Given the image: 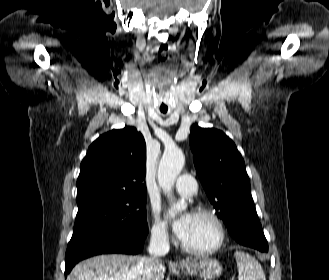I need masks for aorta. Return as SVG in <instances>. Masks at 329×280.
I'll return each instance as SVG.
<instances>
[{
	"instance_id": "1",
	"label": "aorta",
	"mask_w": 329,
	"mask_h": 280,
	"mask_svg": "<svg viewBox=\"0 0 329 280\" xmlns=\"http://www.w3.org/2000/svg\"><path fill=\"white\" fill-rule=\"evenodd\" d=\"M185 164V157L177 147L166 148L158 168V184L163 192L171 197L170 192L174 186L177 176ZM172 200V198H171ZM187 204L184 200L172 202L169 214L174 217L177 213L186 210Z\"/></svg>"
}]
</instances>
